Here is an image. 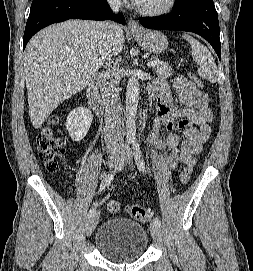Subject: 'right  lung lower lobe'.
<instances>
[{"label": "right lung lower lobe", "instance_id": "obj_1", "mask_svg": "<svg viewBox=\"0 0 253 271\" xmlns=\"http://www.w3.org/2000/svg\"><path fill=\"white\" fill-rule=\"evenodd\" d=\"M111 19L125 24L121 14H114L106 0H33L24 32V46L42 28L68 19Z\"/></svg>", "mask_w": 253, "mask_h": 271}]
</instances>
